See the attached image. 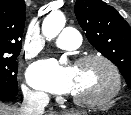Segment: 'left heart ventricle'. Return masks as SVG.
<instances>
[{"label": "left heart ventricle", "instance_id": "1", "mask_svg": "<svg viewBox=\"0 0 131 115\" xmlns=\"http://www.w3.org/2000/svg\"><path fill=\"white\" fill-rule=\"evenodd\" d=\"M73 95L79 98H98L106 95L114 85L110 69L94 60L74 67Z\"/></svg>", "mask_w": 131, "mask_h": 115}]
</instances>
